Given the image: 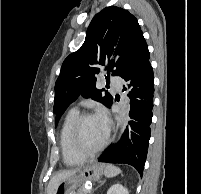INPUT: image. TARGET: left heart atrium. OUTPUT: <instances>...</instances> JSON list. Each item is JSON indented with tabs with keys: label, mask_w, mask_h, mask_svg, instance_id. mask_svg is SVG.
<instances>
[{
	"label": "left heart atrium",
	"mask_w": 201,
	"mask_h": 194,
	"mask_svg": "<svg viewBox=\"0 0 201 194\" xmlns=\"http://www.w3.org/2000/svg\"><path fill=\"white\" fill-rule=\"evenodd\" d=\"M95 117L101 125L104 133L107 135L109 132V121L106 111L104 109H100L95 115Z\"/></svg>",
	"instance_id": "left-heart-atrium-1"
}]
</instances>
